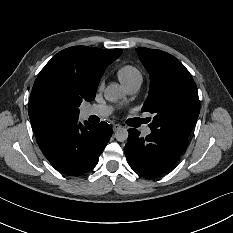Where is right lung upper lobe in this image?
<instances>
[{
  "label": "right lung upper lobe",
  "mask_w": 233,
  "mask_h": 233,
  "mask_svg": "<svg viewBox=\"0 0 233 233\" xmlns=\"http://www.w3.org/2000/svg\"><path fill=\"white\" fill-rule=\"evenodd\" d=\"M121 53L122 49L103 50L87 46H73L57 53L41 70L32 88L28 113L34 132L72 119L52 115L49 106L54 94L75 92L95 98L106 67Z\"/></svg>",
  "instance_id": "1"
}]
</instances>
